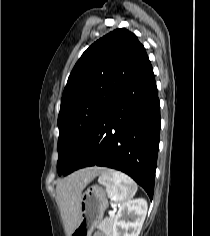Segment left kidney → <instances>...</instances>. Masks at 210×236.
Returning a JSON list of instances; mask_svg holds the SVG:
<instances>
[{"instance_id": "left-kidney-1", "label": "left kidney", "mask_w": 210, "mask_h": 236, "mask_svg": "<svg viewBox=\"0 0 210 236\" xmlns=\"http://www.w3.org/2000/svg\"><path fill=\"white\" fill-rule=\"evenodd\" d=\"M147 214L145 199L124 203L115 216L112 236H139Z\"/></svg>"}]
</instances>
